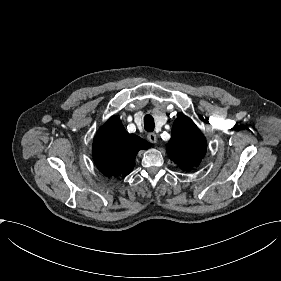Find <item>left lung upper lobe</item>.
Wrapping results in <instances>:
<instances>
[{
	"label": "left lung upper lobe",
	"mask_w": 281,
	"mask_h": 281,
	"mask_svg": "<svg viewBox=\"0 0 281 281\" xmlns=\"http://www.w3.org/2000/svg\"><path fill=\"white\" fill-rule=\"evenodd\" d=\"M206 148V139L193 121L186 116H178L167 145L171 160L182 170L190 171L199 165Z\"/></svg>",
	"instance_id": "obj_1"
}]
</instances>
